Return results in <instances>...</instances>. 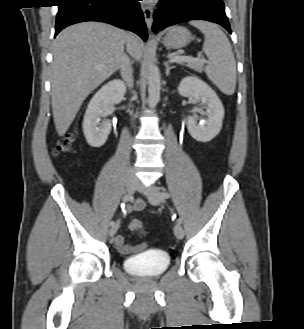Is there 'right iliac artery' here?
Masks as SVG:
<instances>
[{"label": "right iliac artery", "instance_id": "1", "mask_svg": "<svg viewBox=\"0 0 304 329\" xmlns=\"http://www.w3.org/2000/svg\"><path fill=\"white\" fill-rule=\"evenodd\" d=\"M132 199V196L130 194H127L123 197V203H126ZM115 224V221H111L110 225L113 226Z\"/></svg>", "mask_w": 304, "mask_h": 329}]
</instances>
